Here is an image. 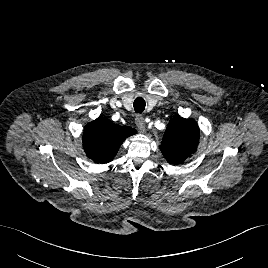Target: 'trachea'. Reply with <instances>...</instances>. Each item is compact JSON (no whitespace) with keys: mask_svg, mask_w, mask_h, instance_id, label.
I'll return each mask as SVG.
<instances>
[{"mask_svg":"<svg viewBox=\"0 0 268 268\" xmlns=\"http://www.w3.org/2000/svg\"><path fill=\"white\" fill-rule=\"evenodd\" d=\"M133 106L136 113H142L146 106L145 100L142 97H138L135 99Z\"/></svg>","mask_w":268,"mask_h":268,"instance_id":"trachea-1","label":"trachea"}]
</instances>
